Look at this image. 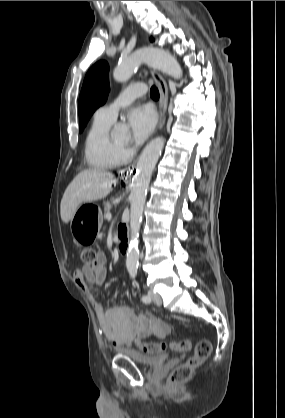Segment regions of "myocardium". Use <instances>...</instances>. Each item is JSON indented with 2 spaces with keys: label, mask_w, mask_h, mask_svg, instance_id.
<instances>
[{
  "label": "myocardium",
  "mask_w": 285,
  "mask_h": 418,
  "mask_svg": "<svg viewBox=\"0 0 285 418\" xmlns=\"http://www.w3.org/2000/svg\"><path fill=\"white\" fill-rule=\"evenodd\" d=\"M108 140H109V142H110V144H111V146L119 153V154H122L123 153V150H124V146H119V145H117V144H115L113 141H112V138L109 136L108 137Z\"/></svg>",
  "instance_id": "obj_1"
}]
</instances>
